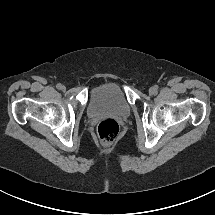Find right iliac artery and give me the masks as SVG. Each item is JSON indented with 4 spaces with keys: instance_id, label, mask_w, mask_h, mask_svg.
Segmentation results:
<instances>
[{
    "instance_id": "1",
    "label": "right iliac artery",
    "mask_w": 215,
    "mask_h": 215,
    "mask_svg": "<svg viewBox=\"0 0 215 215\" xmlns=\"http://www.w3.org/2000/svg\"><path fill=\"white\" fill-rule=\"evenodd\" d=\"M61 86L62 85L60 83L56 85L57 89H61Z\"/></svg>"
}]
</instances>
